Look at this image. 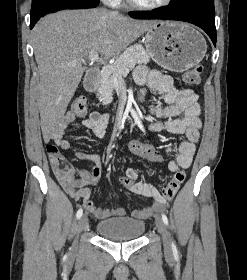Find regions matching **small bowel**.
Segmentation results:
<instances>
[{
  "label": "small bowel",
  "instance_id": "1",
  "mask_svg": "<svg viewBox=\"0 0 247 280\" xmlns=\"http://www.w3.org/2000/svg\"><path fill=\"white\" fill-rule=\"evenodd\" d=\"M135 81L137 84L147 86L149 89L161 94L166 106H153L150 109L155 119L142 130V138L148 136L149 131L167 130L176 134H184L186 139L178 144L177 156H171L172 148L166 149L167 166L171 172L190 167L195 153V144L199 140L201 127V107L198 103L197 94L187 88L178 87L173 80L156 70H148L140 66L135 70ZM75 115L68 112L50 135V139L57 148L68 150L70 142L64 138V132L74 121ZM109 123V116L105 113L92 112L81 121V125L91 130L96 137H103ZM77 160H90L95 163L91 171L76 169L74 175L69 179L58 178L65 191L74 199L81 201L84 208L92 213L97 219H106L112 216H124L126 210L118 207L104 209L97 207L91 200V190L88 186H97L102 175L101 161L98 155L85 152H76ZM125 176L133 181V186L127 188L130 192L152 199L153 204L143 209H135L131 216L135 219H144L153 211L165 204V198L160 195L155 186L148 181H137L138 173L129 168Z\"/></svg>",
  "mask_w": 247,
  "mask_h": 280
}]
</instances>
